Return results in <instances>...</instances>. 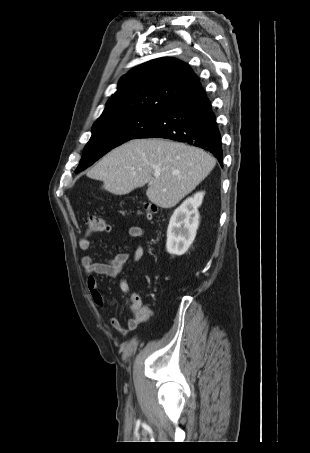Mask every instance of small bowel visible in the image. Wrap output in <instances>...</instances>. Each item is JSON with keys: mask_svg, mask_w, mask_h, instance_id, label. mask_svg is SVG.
Instances as JSON below:
<instances>
[{"mask_svg": "<svg viewBox=\"0 0 310 453\" xmlns=\"http://www.w3.org/2000/svg\"><path fill=\"white\" fill-rule=\"evenodd\" d=\"M128 236L132 239H141L144 236V230L139 226H131L128 228ZM78 245L82 250H88L91 248L92 241L88 237L80 238L78 241ZM145 254V249L142 246H138L133 254L132 262L136 263L141 260V258ZM129 254L122 252L116 254L112 259L106 262H99L96 261L91 256H84L81 260L82 266L87 274L86 278V286L89 292V295L93 301V303L98 307L104 306V297L98 288V282L96 279V275H102L110 278L117 277L120 275L126 264L129 261ZM119 288L121 292L125 295H129L131 293L130 284L126 277H123L119 282ZM137 299L140 303L141 299L138 295L132 294L131 301L133 299ZM149 314L150 310L148 308ZM132 316L126 321V323H122L117 317L110 318L111 326L122 336H126L130 331L135 330L143 321H145L148 317L139 318L133 313V309L131 306Z\"/></svg>", "mask_w": 310, "mask_h": 453, "instance_id": "obj_1", "label": "small bowel"}]
</instances>
